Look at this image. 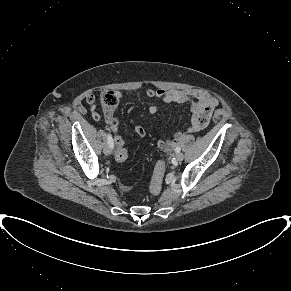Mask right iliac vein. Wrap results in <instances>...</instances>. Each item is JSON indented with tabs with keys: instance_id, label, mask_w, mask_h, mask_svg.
<instances>
[{
	"instance_id": "63e3f726",
	"label": "right iliac vein",
	"mask_w": 291,
	"mask_h": 291,
	"mask_svg": "<svg viewBox=\"0 0 291 291\" xmlns=\"http://www.w3.org/2000/svg\"><path fill=\"white\" fill-rule=\"evenodd\" d=\"M103 152H104L105 155H110L111 152H112V149H111V147L109 145H106L104 147V149H103Z\"/></svg>"
}]
</instances>
